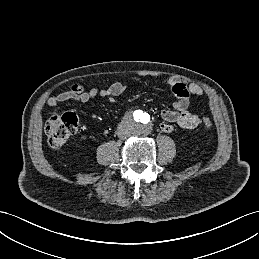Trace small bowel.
I'll return each instance as SVG.
<instances>
[{"label":"small bowel","instance_id":"c3829d8e","mask_svg":"<svg viewBox=\"0 0 259 259\" xmlns=\"http://www.w3.org/2000/svg\"><path fill=\"white\" fill-rule=\"evenodd\" d=\"M168 85L176 100L172 102V109L161 111V130L165 133H171L174 130V124L184 129L197 127L200 120L196 114L189 111V99L191 95H203L202 88L197 84L187 83L176 78H169ZM124 91L125 85L120 81L112 83L106 89L100 90L97 87H93L88 91L79 84H73L69 90L50 97L48 104L55 107L68 101L87 103L98 96L111 101Z\"/></svg>","mask_w":259,"mask_h":259}]
</instances>
